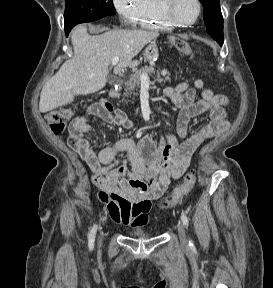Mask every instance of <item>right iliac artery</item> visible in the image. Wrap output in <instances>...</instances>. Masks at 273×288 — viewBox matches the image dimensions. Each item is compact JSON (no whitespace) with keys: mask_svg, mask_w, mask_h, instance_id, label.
Instances as JSON below:
<instances>
[{"mask_svg":"<svg viewBox=\"0 0 273 288\" xmlns=\"http://www.w3.org/2000/svg\"><path fill=\"white\" fill-rule=\"evenodd\" d=\"M97 231V225H94L89 233V249L92 250L94 246V241H95V234Z\"/></svg>","mask_w":273,"mask_h":288,"instance_id":"1","label":"right iliac artery"}]
</instances>
